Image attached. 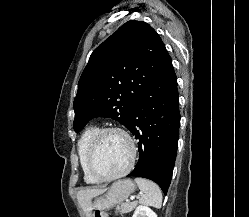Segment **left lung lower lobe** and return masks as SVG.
Here are the masks:
<instances>
[{"instance_id":"left-lung-lower-lobe-1","label":"left lung lower lobe","mask_w":249,"mask_h":217,"mask_svg":"<svg viewBox=\"0 0 249 217\" xmlns=\"http://www.w3.org/2000/svg\"><path fill=\"white\" fill-rule=\"evenodd\" d=\"M180 127L177 78L169 59L137 101L128 129L138 139L139 160L127 175L150 179L167 193Z\"/></svg>"}]
</instances>
